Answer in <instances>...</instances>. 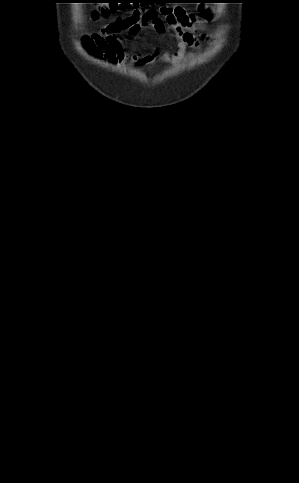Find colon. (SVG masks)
I'll list each match as a JSON object with an SVG mask.
<instances>
[{
	"mask_svg": "<svg viewBox=\"0 0 299 483\" xmlns=\"http://www.w3.org/2000/svg\"><path fill=\"white\" fill-rule=\"evenodd\" d=\"M97 7L93 14L95 16L109 17L119 10L126 8L127 4L121 0H101L97 2ZM120 3V4H119Z\"/></svg>",
	"mask_w": 299,
	"mask_h": 483,
	"instance_id": "1",
	"label": "colon"
}]
</instances>
